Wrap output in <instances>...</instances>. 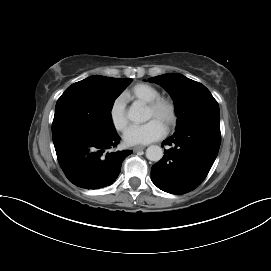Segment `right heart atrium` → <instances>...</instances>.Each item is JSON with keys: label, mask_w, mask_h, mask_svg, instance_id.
Segmentation results:
<instances>
[{"label": "right heart atrium", "mask_w": 271, "mask_h": 271, "mask_svg": "<svg viewBox=\"0 0 271 271\" xmlns=\"http://www.w3.org/2000/svg\"><path fill=\"white\" fill-rule=\"evenodd\" d=\"M109 118L112 126L117 131H123L126 128L128 124L126 101L122 95L117 96L113 100L109 108Z\"/></svg>", "instance_id": "right-heart-atrium-1"}]
</instances>
